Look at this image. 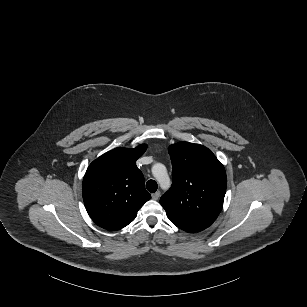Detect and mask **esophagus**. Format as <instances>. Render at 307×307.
I'll return each mask as SVG.
<instances>
[{
	"label": "esophagus",
	"mask_w": 307,
	"mask_h": 307,
	"mask_svg": "<svg viewBox=\"0 0 307 307\" xmlns=\"http://www.w3.org/2000/svg\"><path fill=\"white\" fill-rule=\"evenodd\" d=\"M160 191H157V192H155V193H152V198L154 199V200H157L159 197H160Z\"/></svg>",
	"instance_id": "esophagus-1"
}]
</instances>
